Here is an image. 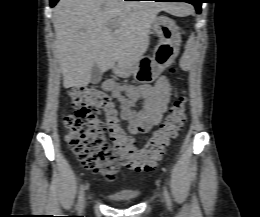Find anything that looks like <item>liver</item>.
I'll use <instances>...</instances> for the list:
<instances>
[{
	"label": "liver",
	"instance_id": "liver-1",
	"mask_svg": "<svg viewBox=\"0 0 260 217\" xmlns=\"http://www.w3.org/2000/svg\"><path fill=\"white\" fill-rule=\"evenodd\" d=\"M160 11L175 16L187 12L183 5L167 2L60 0L53 26L63 86H87L94 64L105 72L115 62L121 68L137 62L148 49L150 28Z\"/></svg>",
	"mask_w": 260,
	"mask_h": 217
}]
</instances>
